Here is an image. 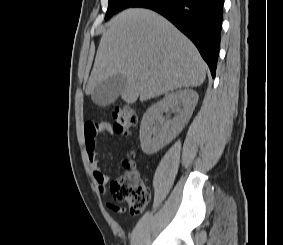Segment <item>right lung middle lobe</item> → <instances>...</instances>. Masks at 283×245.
Returning a JSON list of instances; mask_svg holds the SVG:
<instances>
[{"label": "right lung middle lobe", "instance_id": "right-lung-middle-lobe-1", "mask_svg": "<svg viewBox=\"0 0 283 245\" xmlns=\"http://www.w3.org/2000/svg\"><path fill=\"white\" fill-rule=\"evenodd\" d=\"M138 1L139 0H109L105 20H108L111 16L125 8L132 7Z\"/></svg>", "mask_w": 283, "mask_h": 245}]
</instances>
